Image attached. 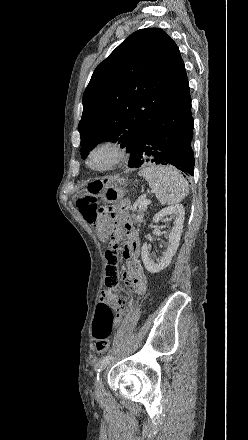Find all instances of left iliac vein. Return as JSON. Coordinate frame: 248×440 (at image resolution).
<instances>
[{
  "label": "left iliac vein",
  "mask_w": 248,
  "mask_h": 440,
  "mask_svg": "<svg viewBox=\"0 0 248 440\" xmlns=\"http://www.w3.org/2000/svg\"><path fill=\"white\" fill-rule=\"evenodd\" d=\"M103 388H104L103 378H102V375H100V377L98 378V380H97V382L95 384V393L97 395H101L102 392H103Z\"/></svg>",
  "instance_id": "obj_1"
}]
</instances>
